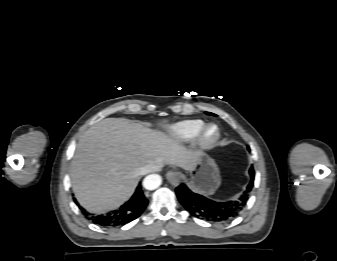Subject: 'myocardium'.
I'll return each instance as SVG.
<instances>
[{"label": "myocardium", "mask_w": 337, "mask_h": 261, "mask_svg": "<svg viewBox=\"0 0 337 261\" xmlns=\"http://www.w3.org/2000/svg\"><path fill=\"white\" fill-rule=\"evenodd\" d=\"M213 132L210 134V132ZM221 138L220 128L216 124L205 125L196 137L197 145L204 150L213 148Z\"/></svg>", "instance_id": "myocardium-1"}]
</instances>
